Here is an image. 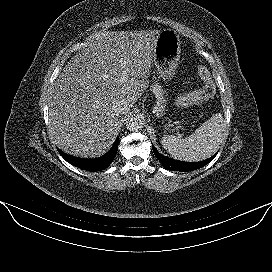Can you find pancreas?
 <instances>
[{
	"mask_svg": "<svg viewBox=\"0 0 272 272\" xmlns=\"http://www.w3.org/2000/svg\"><path fill=\"white\" fill-rule=\"evenodd\" d=\"M151 90L154 93L157 101V116L161 117L164 115L165 112V106H166V98H165V91L162 89V87L158 83H154L151 86Z\"/></svg>",
	"mask_w": 272,
	"mask_h": 272,
	"instance_id": "1",
	"label": "pancreas"
}]
</instances>
